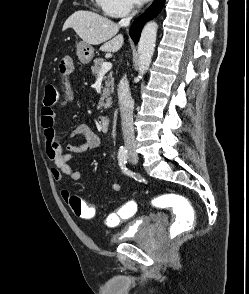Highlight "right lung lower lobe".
<instances>
[{
    "label": "right lung lower lobe",
    "instance_id": "obj_1",
    "mask_svg": "<svg viewBox=\"0 0 249 294\" xmlns=\"http://www.w3.org/2000/svg\"><path fill=\"white\" fill-rule=\"evenodd\" d=\"M165 0H154L152 5L145 11L144 14L139 16L130 28V36L135 43H138L142 27L144 23L156 17L162 10Z\"/></svg>",
    "mask_w": 249,
    "mask_h": 294
}]
</instances>
